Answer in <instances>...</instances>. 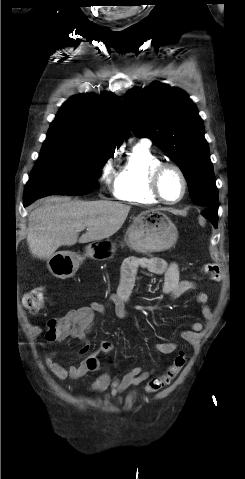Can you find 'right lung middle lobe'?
Segmentation results:
<instances>
[{"label":"right lung middle lobe","mask_w":245,"mask_h":479,"mask_svg":"<svg viewBox=\"0 0 245 479\" xmlns=\"http://www.w3.org/2000/svg\"><path fill=\"white\" fill-rule=\"evenodd\" d=\"M114 151L92 147L76 139L47 135L23 199L90 193L102 166L114 156Z\"/></svg>","instance_id":"obj_1"}]
</instances>
